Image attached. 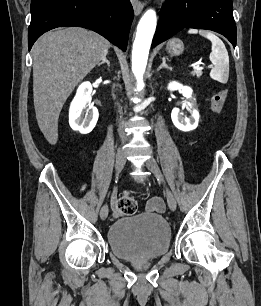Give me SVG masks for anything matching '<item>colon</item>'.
<instances>
[{
    "mask_svg": "<svg viewBox=\"0 0 261 306\" xmlns=\"http://www.w3.org/2000/svg\"><path fill=\"white\" fill-rule=\"evenodd\" d=\"M228 97V90L222 89L212 97V109L221 113ZM117 210L124 215H133L137 212L138 204L135 197L130 193L122 194L116 202Z\"/></svg>",
    "mask_w": 261,
    "mask_h": 306,
    "instance_id": "5ec220e1",
    "label": "colon"
}]
</instances>
